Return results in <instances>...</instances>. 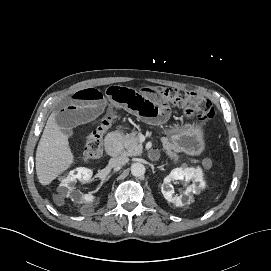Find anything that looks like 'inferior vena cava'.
I'll return each instance as SVG.
<instances>
[{"label": "inferior vena cava", "mask_w": 271, "mask_h": 271, "mask_svg": "<svg viewBox=\"0 0 271 271\" xmlns=\"http://www.w3.org/2000/svg\"><path fill=\"white\" fill-rule=\"evenodd\" d=\"M128 158L127 157H115V158H111L109 161V165L111 167H119V166H123L128 162Z\"/></svg>", "instance_id": "obj_1"}]
</instances>
